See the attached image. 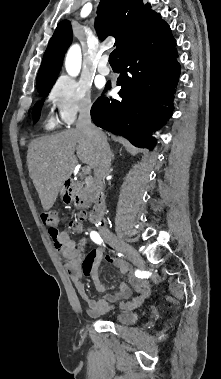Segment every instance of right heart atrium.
<instances>
[{
	"label": "right heart atrium",
	"mask_w": 221,
	"mask_h": 379,
	"mask_svg": "<svg viewBox=\"0 0 221 379\" xmlns=\"http://www.w3.org/2000/svg\"><path fill=\"white\" fill-rule=\"evenodd\" d=\"M48 100L57 118L67 126L72 125L78 116L89 114L93 107L89 87L67 77L52 85Z\"/></svg>",
	"instance_id": "right-heart-atrium-1"
}]
</instances>
